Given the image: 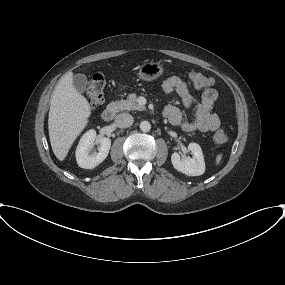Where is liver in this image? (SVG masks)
Instances as JSON below:
<instances>
[{
  "instance_id": "obj_1",
  "label": "liver",
  "mask_w": 285,
  "mask_h": 285,
  "mask_svg": "<svg viewBox=\"0 0 285 285\" xmlns=\"http://www.w3.org/2000/svg\"><path fill=\"white\" fill-rule=\"evenodd\" d=\"M91 107L73 85V73L67 72L56 85L48 116L52 150L63 161L77 136L88 123Z\"/></svg>"
}]
</instances>
